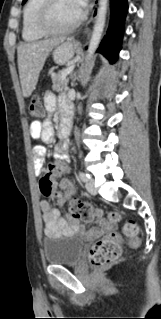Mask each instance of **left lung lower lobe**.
<instances>
[{"mask_svg":"<svg viewBox=\"0 0 161 319\" xmlns=\"http://www.w3.org/2000/svg\"><path fill=\"white\" fill-rule=\"evenodd\" d=\"M111 16L107 35L102 40L98 52L110 63L116 62L121 50L124 22L128 11L127 0H110ZM96 15V12L94 13Z\"/></svg>","mask_w":161,"mask_h":319,"instance_id":"1","label":"left lung lower lobe"}]
</instances>
